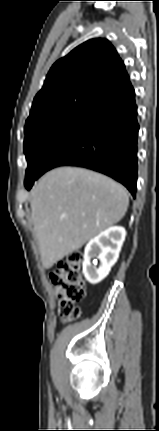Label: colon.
I'll return each instance as SVG.
<instances>
[{
	"instance_id": "1",
	"label": "colon",
	"mask_w": 159,
	"mask_h": 431,
	"mask_svg": "<svg viewBox=\"0 0 159 431\" xmlns=\"http://www.w3.org/2000/svg\"><path fill=\"white\" fill-rule=\"evenodd\" d=\"M82 259L81 252H71L56 264L50 274V279L57 288L59 313L65 322L79 317L80 309L77 304L85 296Z\"/></svg>"
}]
</instances>
